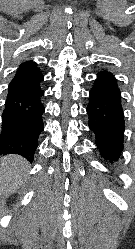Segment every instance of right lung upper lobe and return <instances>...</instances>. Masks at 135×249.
Masks as SVG:
<instances>
[{
	"label": "right lung upper lobe",
	"instance_id": "right-lung-upper-lobe-1",
	"mask_svg": "<svg viewBox=\"0 0 135 249\" xmlns=\"http://www.w3.org/2000/svg\"><path fill=\"white\" fill-rule=\"evenodd\" d=\"M40 68L33 61H26L20 64L13 79H20L40 74Z\"/></svg>",
	"mask_w": 135,
	"mask_h": 249
}]
</instances>
